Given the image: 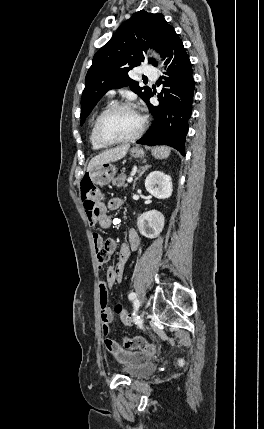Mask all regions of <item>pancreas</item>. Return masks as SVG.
I'll return each instance as SVG.
<instances>
[{
	"instance_id": "obj_1",
	"label": "pancreas",
	"mask_w": 264,
	"mask_h": 429,
	"mask_svg": "<svg viewBox=\"0 0 264 429\" xmlns=\"http://www.w3.org/2000/svg\"><path fill=\"white\" fill-rule=\"evenodd\" d=\"M126 174L124 172H121L116 178L112 180V184L116 187H127L126 181Z\"/></svg>"
}]
</instances>
